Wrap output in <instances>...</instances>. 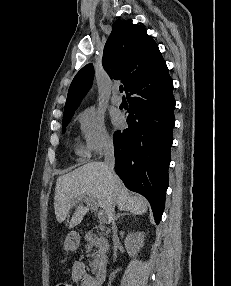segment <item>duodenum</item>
Returning a JSON list of instances; mask_svg holds the SVG:
<instances>
[{"label":"duodenum","mask_w":231,"mask_h":286,"mask_svg":"<svg viewBox=\"0 0 231 286\" xmlns=\"http://www.w3.org/2000/svg\"><path fill=\"white\" fill-rule=\"evenodd\" d=\"M107 277V271L104 267L98 268L95 274V280L98 286L102 285Z\"/></svg>","instance_id":"410a0bca"}]
</instances>
